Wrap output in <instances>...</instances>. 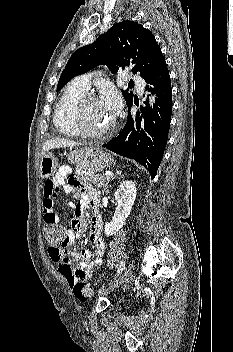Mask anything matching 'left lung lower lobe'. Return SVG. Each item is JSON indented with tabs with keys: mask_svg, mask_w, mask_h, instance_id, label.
Masks as SVG:
<instances>
[{
	"mask_svg": "<svg viewBox=\"0 0 233 352\" xmlns=\"http://www.w3.org/2000/svg\"><path fill=\"white\" fill-rule=\"evenodd\" d=\"M145 81L146 90L158 96L153 108L146 101V108L141 107L142 115L137 112L136 117H132L129 113L123 129L103 147L141 163L154 178L166 147L172 113L171 81L166 62ZM132 105L133 100L128 104L129 111Z\"/></svg>",
	"mask_w": 233,
	"mask_h": 352,
	"instance_id": "obj_1",
	"label": "left lung lower lobe"
}]
</instances>
